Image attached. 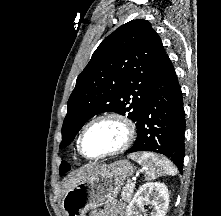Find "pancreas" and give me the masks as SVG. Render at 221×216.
Returning <instances> with one entry per match:
<instances>
[{"label":"pancreas","mask_w":221,"mask_h":216,"mask_svg":"<svg viewBox=\"0 0 221 216\" xmlns=\"http://www.w3.org/2000/svg\"><path fill=\"white\" fill-rule=\"evenodd\" d=\"M134 191V185L132 183H128L125 187H123L121 197L124 201L129 202L132 198V194Z\"/></svg>","instance_id":"obj_1"}]
</instances>
